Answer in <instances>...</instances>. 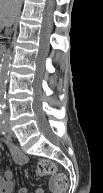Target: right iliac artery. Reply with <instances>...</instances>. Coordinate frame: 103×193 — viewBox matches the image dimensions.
<instances>
[{"label": "right iliac artery", "mask_w": 103, "mask_h": 193, "mask_svg": "<svg viewBox=\"0 0 103 193\" xmlns=\"http://www.w3.org/2000/svg\"><path fill=\"white\" fill-rule=\"evenodd\" d=\"M0 132L2 134H6V132H7L6 124H5V120H4L3 116H1V120H0Z\"/></svg>", "instance_id": "82829eb1"}]
</instances>
